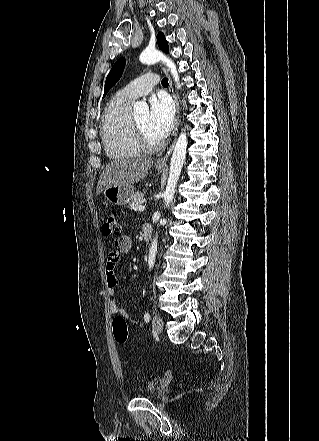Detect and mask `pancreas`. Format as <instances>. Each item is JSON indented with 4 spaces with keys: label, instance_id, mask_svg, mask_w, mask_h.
I'll return each instance as SVG.
<instances>
[{
    "label": "pancreas",
    "instance_id": "1",
    "mask_svg": "<svg viewBox=\"0 0 319 441\" xmlns=\"http://www.w3.org/2000/svg\"><path fill=\"white\" fill-rule=\"evenodd\" d=\"M143 202H144V194L140 191H137L132 201L129 203V209L137 211L139 206H141Z\"/></svg>",
    "mask_w": 319,
    "mask_h": 441
}]
</instances>
